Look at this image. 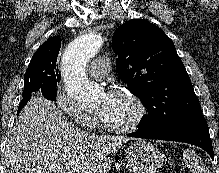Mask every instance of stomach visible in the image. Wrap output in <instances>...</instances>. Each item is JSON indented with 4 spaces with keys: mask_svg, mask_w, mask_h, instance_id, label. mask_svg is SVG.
Returning a JSON list of instances; mask_svg holds the SVG:
<instances>
[{
    "mask_svg": "<svg viewBox=\"0 0 219 173\" xmlns=\"http://www.w3.org/2000/svg\"><path fill=\"white\" fill-rule=\"evenodd\" d=\"M125 160L132 173H156L164 163V154L144 140L131 144Z\"/></svg>",
    "mask_w": 219,
    "mask_h": 173,
    "instance_id": "1",
    "label": "stomach"
}]
</instances>
